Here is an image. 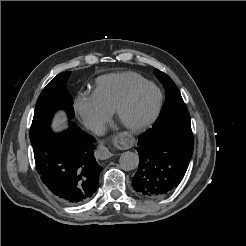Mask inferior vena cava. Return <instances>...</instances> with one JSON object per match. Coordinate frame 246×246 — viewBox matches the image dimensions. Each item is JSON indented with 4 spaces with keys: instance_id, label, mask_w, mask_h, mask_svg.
I'll return each instance as SVG.
<instances>
[{
    "instance_id": "602c4592",
    "label": "inferior vena cava",
    "mask_w": 246,
    "mask_h": 246,
    "mask_svg": "<svg viewBox=\"0 0 246 246\" xmlns=\"http://www.w3.org/2000/svg\"><path fill=\"white\" fill-rule=\"evenodd\" d=\"M87 128L96 134H102L105 131V124L101 120L92 119L87 122Z\"/></svg>"
}]
</instances>
